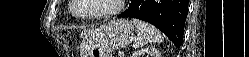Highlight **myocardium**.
Returning <instances> with one entry per match:
<instances>
[{"label":"myocardium","instance_id":"obj_1","mask_svg":"<svg viewBox=\"0 0 249 57\" xmlns=\"http://www.w3.org/2000/svg\"><path fill=\"white\" fill-rule=\"evenodd\" d=\"M125 2V0H116V5L113 9L109 11L82 16L79 15L76 11L80 5V0H72L71 13L75 18L80 20H94L99 18H107L118 14L123 9Z\"/></svg>","mask_w":249,"mask_h":57}]
</instances>
